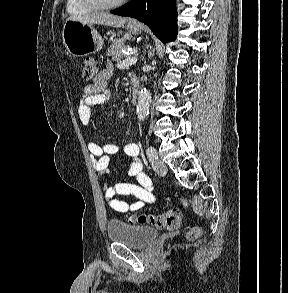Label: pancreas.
I'll return each mask as SVG.
<instances>
[{
    "label": "pancreas",
    "instance_id": "obj_1",
    "mask_svg": "<svg viewBox=\"0 0 288 293\" xmlns=\"http://www.w3.org/2000/svg\"><path fill=\"white\" fill-rule=\"evenodd\" d=\"M126 48L125 46V39L124 38H119L115 39L111 46L110 49H108L106 55L111 56L113 60L119 61L121 59L122 54V49Z\"/></svg>",
    "mask_w": 288,
    "mask_h": 293
}]
</instances>
